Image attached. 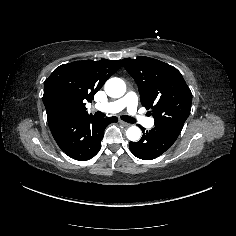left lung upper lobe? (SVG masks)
<instances>
[{
  "label": "left lung upper lobe",
  "instance_id": "5c2ea615",
  "mask_svg": "<svg viewBox=\"0 0 236 236\" xmlns=\"http://www.w3.org/2000/svg\"><path fill=\"white\" fill-rule=\"evenodd\" d=\"M122 63L138 85L142 105L152 110L155 125L182 129L190 114L192 93L181 73L149 57L125 58Z\"/></svg>",
  "mask_w": 236,
  "mask_h": 236
}]
</instances>
